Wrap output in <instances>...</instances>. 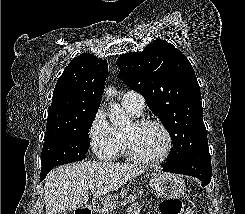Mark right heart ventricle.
Instances as JSON below:
<instances>
[{"instance_id":"1","label":"right heart ventricle","mask_w":245,"mask_h":214,"mask_svg":"<svg viewBox=\"0 0 245 214\" xmlns=\"http://www.w3.org/2000/svg\"><path fill=\"white\" fill-rule=\"evenodd\" d=\"M125 109L127 110V112L130 115H132L134 117L140 115V113L134 111L133 109H131L129 107H125ZM115 130H116V134H117V138H118V146H117L116 154L127 156V151H126V147H125V143H124V137H123V131L119 130V129H115Z\"/></svg>"}]
</instances>
